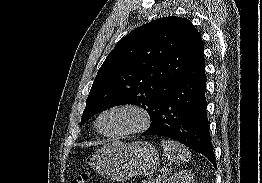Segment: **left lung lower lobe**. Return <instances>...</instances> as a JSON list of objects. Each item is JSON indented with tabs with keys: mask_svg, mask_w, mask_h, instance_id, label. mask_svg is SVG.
<instances>
[{
	"mask_svg": "<svg viewBox=\"0 0 262 183\" xmlns=\"http://www.w3.org/2000/svg\"><path fill=\"white\" fill-rule=\"evenodd\" d=\"M204 53L188 68L161 103L149 129L142 135L177 140L207 157L216 167L206 113Z\"/></svg>",
	"mask_w": 262,
	"mask_h": 183,
	"instance_id": "left-lung-lower-lobe-1",
	"label": "left lung lower lobe"
}]
</instances>
